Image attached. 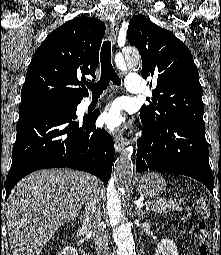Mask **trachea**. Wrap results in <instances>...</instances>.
<instances>
[{
    "mask_svg": "<svg viewBox=\"0 0 221 255\" xmlns=\"http://www.w3.org/2000/svg\"><path fill=\"white\" fill-rule=\"evenodd\" d=\"M101 77L97 83H89L87 87L93 94L102 93L112 81L115 85L121 84V79L113 69L111 64V42L109 40L104 41L101 48Z\"/></svg>",
    "mask_w": 221,
    "mask_h": 255,
    "instance_id": "obj_1",
    "label": "trachea"
}]
</instances>
